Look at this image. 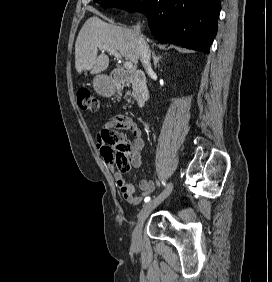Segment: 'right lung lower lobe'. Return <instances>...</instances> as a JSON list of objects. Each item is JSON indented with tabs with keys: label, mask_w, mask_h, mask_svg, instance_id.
Segmentation results:
<instances>
[{
	"label": "right lung lower lobe",
	"mask_w": 272,
	"mask_h": 282,
	"mask_svg": "<svg viewBox=\"0 0 272 282\" xmlns=\"http://www.w3.org/2000/svg\"><path fill=\"white\" fill-rule=\"evenodd\" d=\"M129 12L145 13L153 36L188 49L209 53L217 32L219 0H143Z\"/></svg>",
	"instance_id": "right-lung-lower-lobe-1"
}]
</instances>
